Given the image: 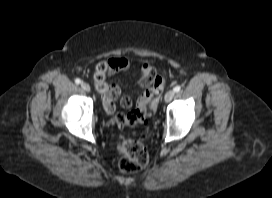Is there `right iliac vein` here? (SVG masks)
<instances>
[{
	"label": "right iliac vein",
	"mask_w": 272,
	"mask_h": 198,
	"mask_svg": "<svg viewBox=\"0 0 272 198\" xmlns=\"http://www.w3.org/2000/svg\"><path fill=\"white\" fill-rule=\"evenodd\" d=\"M81 88L86 92H90V90H91L89 84L86 82L81 83Z\"/></svg>",
	"instance_id": "63e3f726"
}]
</instances>
